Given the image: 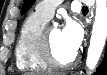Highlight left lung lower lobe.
Returning <instances> with one entry per match:
<instances>
[{
  "label": "left lung lower lobe",
  "mask_w": 107,
  "mask_h": 75,
  "mask_svg": "<svg viewBox=\"0 0 107 75\" xmlns=\"http://www.w3.org/2000/svg\"><path fill=\"white\" fill-rule=\"evenodd\" d=\"M94 75H107V51L105 53V59L102 65L98 68L97 73Z\"/></svg>",
  "instance_id": "0a47b994"
}]
</instances>
